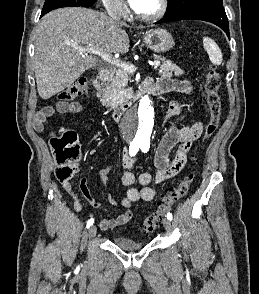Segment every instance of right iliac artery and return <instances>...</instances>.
I'll use <instances>...</instances> for the list:
<instances>
[{"instance_id":"obj_1","label":"right iliac artery","mask_w":259,"mask_h":294,"mask_svg":"<svg viewBox=\"0 0 259 294\" xmlns=\"http://www.w3.org/2000/svg\"><path fill=\"white\" fill-rule=\"evenodd\" d=\"M139 143H135V142H132L131 144H130V147H129V154H130V156L132 157V156H135L136 154H137V152H138V150H139ZM93 223H94V219L93 218H91V219H89L88 221H87V228H89L91 225H93Z\"/></svg>"}]
</instances>
